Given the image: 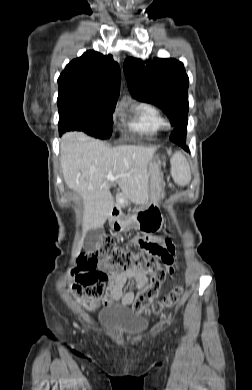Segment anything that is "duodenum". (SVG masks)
Masks as SVG:
<instances>
[{
	"instance_id": "duodenum-1",
	"label": "duodenum",
	"mask_w": 252,
	"mask_h": 390,
	"mask_svg": "<svg viewBox=\"0 0 252 390\" xmlns=\"http://www.w3.org/2000/svg\"><path fill=\"white\" fill-rule=\"evenodd\" d=\"M119 212L116 209H113L110 214V221L115 223L116 218L118 217Z\"/></svg>"
}]
</instances>
